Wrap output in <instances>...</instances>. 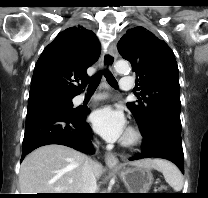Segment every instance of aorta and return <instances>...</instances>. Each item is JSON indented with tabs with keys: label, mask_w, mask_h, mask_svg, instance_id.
Returning a JSON list of instances; mask_svg holds the SVG:
<instances>
[{
	"label": "aorta",
	"mask_w": 208,
	"mask_h": 198,
	"mask_svg": "<svg viewBox=\"0 0 208 198\" xmlns=\"http://www.w3.org/2000/svg\"><path fill=\"white\" fill-rule=\"evenodd\" d=\"M115 70L121 74L126 73L130 70L129 63L124 60H119L115 64Z\"/></svg>",
	"instance_id": "762f6f07"
}]
</instances>
